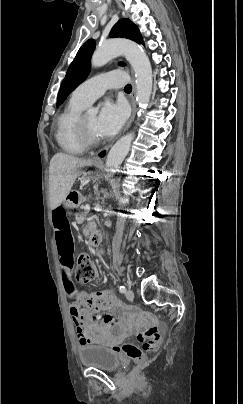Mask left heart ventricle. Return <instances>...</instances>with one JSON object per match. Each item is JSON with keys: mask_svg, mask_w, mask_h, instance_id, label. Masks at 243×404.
<instances>
[{"mask_svg": "<svg viewBox=\"0 0 243 404\" xmlns=\"http://www.w3.org/2000/svg\"><path fill=\"white\" fill-rule=\"evenodd\" d=\"M95 123H96V118L87 116L83 117V125L87 133L93 137H96L95 135Z\"/></svg>", "mask_w": 243, "mask_h": 404, "instance_id": "b2bd125f", "label": "left heart ventricle"}]
</instances>
